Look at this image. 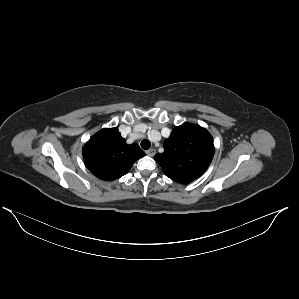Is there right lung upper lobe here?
<instances>
[{"label":"right lung upper lobe","mask_w":299,"mask_h":299,"mask_svg":"<svg viewBox=\"0 0 299 299\" xmlns=\"http://www.w3.org/2000/svg\"><path fill=\"white\" fill-rule=\"evenodd\" d=\"M144 155L137 144H126L117 128L102 129L83 148L86 166L105 181L122 177Z\"/></svg>","instance_id":"cb5924a9"}]
</instances>
